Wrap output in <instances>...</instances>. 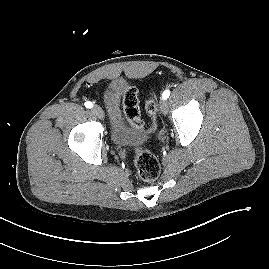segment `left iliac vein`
<instances>
[{
    "mask_svg": "<svg viewBox=\"0 0 269 269\" xmlns=\"http://www.w3.org/2000/svg\"><path fill=\"white\" fill-rule=\"evenodd\" d=\"M160 110H161V112L163 113V114H166L167 113V111H168V103H167V101H166V99H162L161 101H160Z\"/></svg>",
    "mask_w": 269,
    "mask_h": 269,
    "instance_id": "left-iliac-vein-1",
    "label": "left iliac vein"
}]
</instances>
